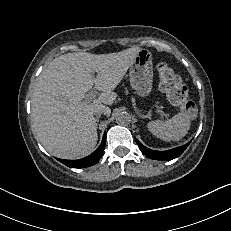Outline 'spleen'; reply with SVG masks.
<instances>
[{"label": "spleen", "instance_id": "1", "mask_svg": "<svg viewBox=\"0 0 231 231\" xmlns=\"http://www.w3.org/2000/svg\"><path fill=\"white\" fill-rule=\"evenodd\" d=\"M148 130L163 141H179L190 128V117L186 113H178L166 121L155 120L147 124Z\"/></svg>", "mask_w": 231, "mask_h": 231}]
</instances>
